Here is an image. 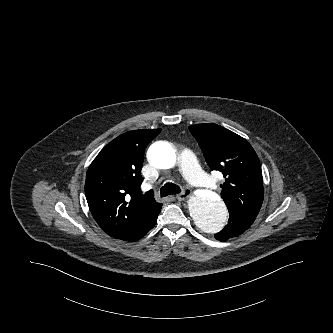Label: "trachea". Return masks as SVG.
Segmentation results:
<instances>
[{
    "label": "trachea",
    "mask_w": 333,
    "mask_h": 333,
    "mask_svg": "<svg viewBox=\"0 0 333 333\" xmlns=\"http://www.w3.org/2000/svg\"><path fill=\"white\" fill-rule=\"evenodd\" d=\"M180 192V187L170 182L166 183L163 187H161L160 190L161 197H165L171 194H177Z\"/></svg>",
    "instance_id": "trachea-1"
}]
</instances>
